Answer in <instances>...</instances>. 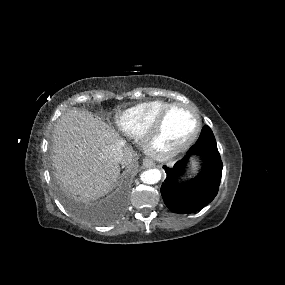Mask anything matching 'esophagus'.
<instances>
[{"instance_id":"1","label":"esophagus","mask_w":285,"mask_h":285,"mask_svg":"<svg viewBox=\"0 0 285 285\" xmlns=\"http://www.w3.org/2000/svg\"><path fill=\"white\" fill-rule=\"evenodd\" d=\"M143 166L146 167V168H151V167L154 166V162L151 159H149V158H145L143 160Z\"/></svg>"}]
</instances>
